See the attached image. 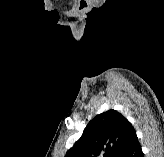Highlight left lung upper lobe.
<instances>
[{"instance_id":"1","label":"left lung upper lobe","mask_w":164,"mask_h":157,"mask_svg":"<svg viewBox=\"0 0 164 157\" xmlns=\"http://www.w3.org/2000/svg\"><path fill=\"white\" fill-rule=\"evenodd\" d=\"M135 134L131 123L116 110L97 115L65 157H119Z\"/></svg>"}]
</instances>
